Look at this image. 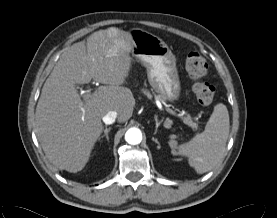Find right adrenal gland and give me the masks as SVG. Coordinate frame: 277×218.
<instances>
[{
  "label": "right adrenal gland",
  "mask_w": 277,
  "mask_h": 218,
  "mask_svg": "<svg viewBox=\"0 0 277 218\" xmlns=\"http://www.w3.org/2000/svg\"><path fill=\"white\" fill-rule=\"evenodd\" d=\"M110 130H111V127L106 128V129L104 130V134H103L101 137H99L98 140H100V139L103 138V137H106L107 141H109L108 133L110 132Z\"/></svg>",
  "instance_id": "right-adrenal-gland-1"
}]
</instances>
